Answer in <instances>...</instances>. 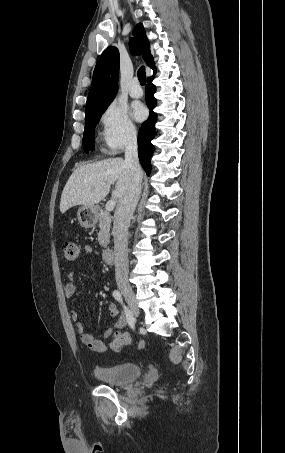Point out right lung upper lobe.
<instances>
[{
	"mask_svg": "<svg viewBox=\"0 0 285 453\" xmlns=\"http://www.w3.org/2000/svg\"><path fill=\"white\" fill-rule=\"evenodd\" d=\"M134 38L130 40L132 53L141 54L146 64L156 71L150 44L142 24L136 25ZM119 51L116 47H108L100 56L94 72L92 85L86 102V114L108 107L117 94L119 73Z\"/></svg>",
	"mask_w": 285,
	"mask_h": 453,
	"instance_id": "cb5924a9",
	"label": "right lung upper lobe"
}]
</instances>
